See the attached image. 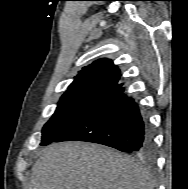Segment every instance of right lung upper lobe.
<instances>
[{"mask_svg":"<svg viewBox=\"0 0 188 189\" xmlns=\"http://www.w3.org/2000/svg\"><path fill=\"white\" fill-rule=\"evenodd\" d=\"M121 73L109 59H99L84 67L64 94L87 91L111 93L122 87L118 84Z\"/></svg>","mask_w":188,"mask_h":189,"instance_id":"obj_1","label":"right lung upper lobe"}]
</instances>
